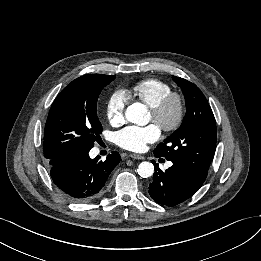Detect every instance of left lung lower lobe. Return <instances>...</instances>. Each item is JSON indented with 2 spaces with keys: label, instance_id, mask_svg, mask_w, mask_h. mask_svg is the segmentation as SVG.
I'll return each instance as SVG.
<instances>
[{
  "label": "left lung lower lobe",
  "instance_id": "obj_1",
  "mask_svg": "<svg viewBox=\"0 0 261 261\" xmlns=\"http://www.w3.org/2000/svg\"><path fill=\"white\" fill-rule=\"evenodd\" d=\"M152 162L155 172L153 182L149 185V194L161 205L172 207L184 202L199 190L206 179L176 162L164 172L155 161Z\"/></svg>",
  "mask_w": 261,
  "mask_h": 261
}]
</instances>
